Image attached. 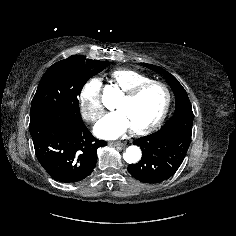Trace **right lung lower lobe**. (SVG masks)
Instances as JSON below:
<instances>
[{"mask_svg":"<svg viewBox=\"0 0 236 236\" xmlns=\"http://www.w3.org/2000/svg\"><path fill=\"white\" fill-rule=\"evenodd\" d=\"M30 134L38 161L62 183L89 176L97 162V149L106 146L105 141L91 135L82 119L74 117H30Z\"/></svg>","mask_w":236,"mask_h":236,"instance_id":"1","label":"right lung lower lobe"}]
</instances>
